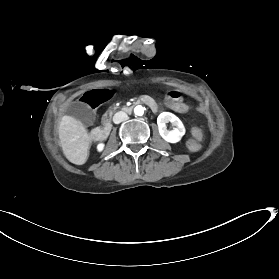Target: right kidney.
<instances>
[{
  "instance_id": "obj_1",
  "label": "right kidney",
  "mask_w": 279,
  "mask_h": 279,
  "mask_svg": "<svg viewBox=\"0 0 279 279\" xmlns=\"http://www.w3.org/2000/svg\"><path fill=\"white\" fill-rule=\"evenodd\" d=\"M103 148H104V144H103V143L98 144L97 150H98L99 152L102 151Z\"/></svg>"
}]
</instances>
